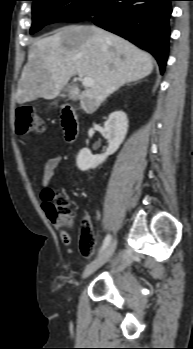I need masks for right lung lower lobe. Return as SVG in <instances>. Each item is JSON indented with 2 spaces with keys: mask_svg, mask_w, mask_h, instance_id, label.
Returning a JSON list of instances; mask_svg holds the SVG:
<instances>
[{
  "mask_svg": "<svg viewBox=\"0 0 193 349\" xmlns=\"http://www.w3.org/2000/svg\"><path fill=\"white\" fill-rule=\"evenodd\" d=\"M173 0H101L88 17L150 52L163 73L168 57L169 25Z\"/></svg>",
  "mask_w": 193,
  "mask_h": 349,
  "instance_id": "obj_1",
  "label": "right lung lower lobe"
}]
</instances>
